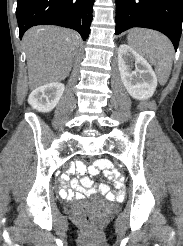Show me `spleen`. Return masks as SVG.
Segmentation results:
<instances>
[{
	"label": "spleen",
	"instance_id": "spleen-1",
	"mask_svg": "<svg viewBox=\"0 0 183 246\" xmlns=\"http://www.w3.org/2000/svg\"><path fill=\"white\" fill-rule=\"evenodd\" d=\"M128 43L146 56L155 66L161 85H165L172 69L174 48L163 34L149 29H134L128 35Z\"/></svg>",
	"mask_w": 183,
	"mask_h": 246
}]
</instances>
